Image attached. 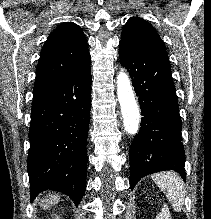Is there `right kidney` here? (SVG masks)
<instances>
[{"label": "right kidney", "mask_w": 211, "mask_h": 219, "mask_svg": "<svg viewBox=\"0 0 211 219\" xmlns=\"http://www.w3.org/2000/svg\"><path fill=\"white\" fill-rule=\"evenodd\" d=\"M55 219H60V217L56 216Z\"/></svg>", "instance_id": "ca27d5eb"}]
</instances>
